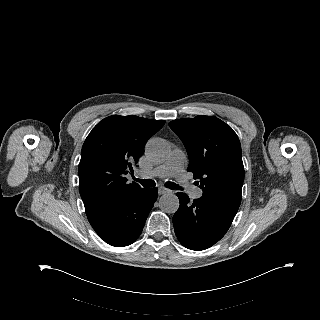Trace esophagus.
Wrapping results in <instances>:
<instances>
[{"label":"esophagus","instance_id":"1","mask_svg":"<svg viewBox=\"0 0 320 320\" xmlns=\"http://www.w3.org/2000/svg\"><path fill=\"white\" fill-rule=\"evenodd\" d=\"M169 192H170V190L167 189V188H165V187L160 186V187L158 188V194H159V195H163V194H166V193H169Z\"/></svg>","mask_w":320,"mask_h":320}]
</instances>
